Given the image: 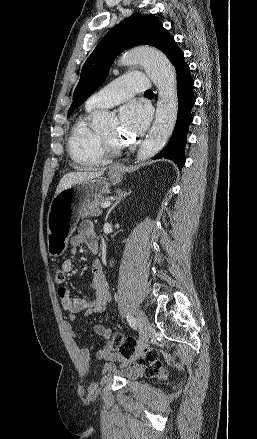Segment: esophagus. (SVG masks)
Instances as JSON below:
<instances>
[{"label": "esophagus", "mask_w": 257, "mask_h": 439, "mask_svg": "<svg viewBox=\"0 0 257 439\" xmlns=\"http://www.w3.org/2000/svg\"><path fill=\"white\" fill-rule=\"evenodd\" d=\"M120 167L119 166H116L114 169H119Z\"/></svg>", "instance_id": "34e87169"}]
</instances>
